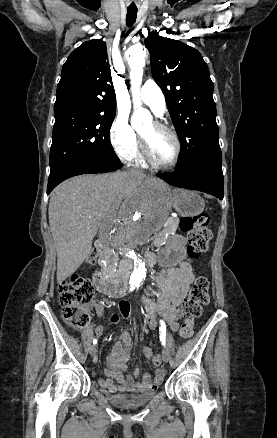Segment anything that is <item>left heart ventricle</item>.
Segmentation results:
<instances>
[{"mask_svg":"<svg viewBox=\"0 0 277 438\" xmlns=\"http://www.w3.org/2000/svg\"><path fill=\"white\" fill-rule=\"evenodd\" d=\"M139 134L150 142L152 152L157 160L169 163L175 154V143L170 135L157 129L153 122L148 123Z\"/></svg>","mask_w":277,"mask_h":438,"instance_id":"1","label":"left heart ventricle"}]
</instances>
